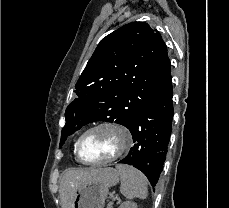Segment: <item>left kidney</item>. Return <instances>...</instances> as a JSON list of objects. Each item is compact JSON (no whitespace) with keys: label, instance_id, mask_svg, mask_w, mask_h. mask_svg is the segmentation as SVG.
Returning <instances> with one entry per match:
<instances>
[{"label":"left kidney","instance_id":"obj_1","mask_svg":"<svg viewBox=\"0 0 229 208\" xmlns=\"http://www.w3.org/2000/svg\"><path fill=\"white\" fill-rule=\"evenodd\" d=\"M120 208H137L136 204H131V202H124L121 204Z\"/></svg>","mask_w":229,"mask_h":208}]
</instances>
